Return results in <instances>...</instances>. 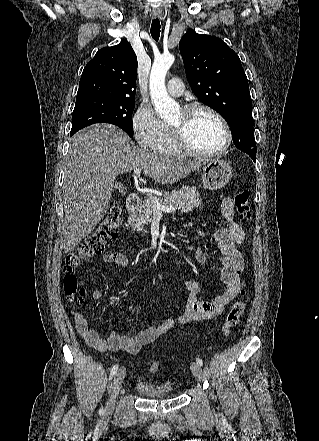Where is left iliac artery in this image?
Here are the masks:
<instances>
[{"label":"left iliac artery","instance_id":"44dca946","mask_svg":"<svg viewBox=\"0 0 319 441\" xmlns=\"http://www.w3.org/2000/svg\"><path fill=\"white\" fill-rule=\"evenodd\" d=\"M196 362H197V364L200 365V366L203 365V362H202V360H201L200 358H197V359H196Z\"/></svg>","mask_w":319,"mask_h":441}]
</instances>
